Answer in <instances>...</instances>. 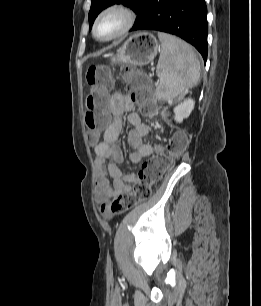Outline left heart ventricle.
<instances>
[{
  "label": "left heart ventricle",
  "instance_id": "obj_1",
  "mask_svg": "<svg viewBox=\"0 0 261 306\" xmlns=\"http://www.w3.org/2000/svg\"><path fill=\"white\" fill-rule=\"evenodd\" d=\"M123 24V18L118 14H110L105 17L98 27L99 37H108L116 33Z\"/></svg>",
  "mask_w": 261,
  "mask_h": 306
}]
</instances>
